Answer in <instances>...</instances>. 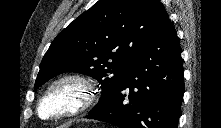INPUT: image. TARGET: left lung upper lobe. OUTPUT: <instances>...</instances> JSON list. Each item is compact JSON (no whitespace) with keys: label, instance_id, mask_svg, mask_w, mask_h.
<instances>
[{"label":"left lung upper lobe","instance_id":"5c2ea615","mask_svg":"<svg viewBox=\"0 0 221 128\" xmlns=\"http://www.w3.org/2000/svg\"><path fill=\"white\" fill-rule=\"evenodd\" d=\"M167 19L159 0H99L53 40L40 64L34 90L60 73H83L102 87L101 98L91 111L102 107Z\"/></svg>","mask_w":221,"mask_h":128}]
</instances>
